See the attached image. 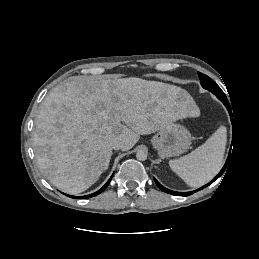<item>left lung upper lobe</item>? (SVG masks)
<instances>
[{
    "label": "left lung upper lobe",
    "mask_w": 259,
    "mask_h": 259,
    "mask_svg": "<svg viewBox=\"0 0 259 259\" xmlns=\"http://www.w3.org/2000/svg\"><path fill=\"white\" fill-rule=\"evenodd\" d=\"M200 83L203 88L211 91L213 94H223L221 88L207 75L198 72Z\"/></svg>",
    "instance_id": "5c2ea615"
}]
</instances>
